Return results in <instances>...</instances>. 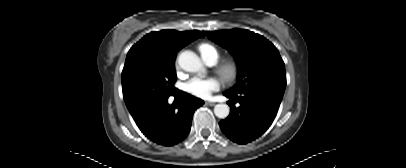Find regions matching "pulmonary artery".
<instances>
[{"mask_svg": "<svg viewBox=\"0 0 406 168\" xmlns=\"http://www.w3.org/2000/svg\"><path fill=\"white\" fill-rule=\"evenodd\" d=\"M209 65H213V63H208Z\"/></svg>", "mask_w": 406, "mask_h": 168, "instance_id": "1", "label": "pulmonary artery"}]
</instances>
